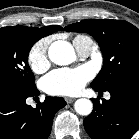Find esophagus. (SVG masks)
<instances>
[{"mask_svg": "<svg viewBox=\"0 0 139 139\" xmlns=\"http://www.w3.org/2000/svg\"><path fill=\"white\" fill-rule=\"evenodd\" d=\"M65 100L67 103H72L75 99L71 97H66Z\"/></svg>", "mask_w": 139, "mask_h": 139, "instance_id": "34e87169", "label": "esophagus"}]
</instances>
